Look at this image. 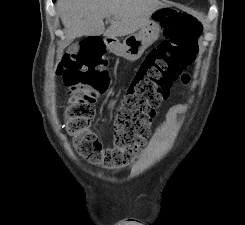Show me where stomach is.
<instances>
[{
    "label": "stomach",
    "instance_id": "stomach-1",
    "mask_svg": "<svg viewBox=\"0 0 245 225\" xmlns=\"http://www.w3.org/2000/svg\"><path fill=\"white\" fill-rule=\"evenodd\" d=\"M160 8L156 10L148 22L140 29L137 34L127 36L123 43H120L116 38H112L110 43V50L117 56L123 57L128 61H136L139 59L144 51L151 46L159 37L160 24L157 17L161 13Z\"/></svg>",
    "mask_w": 245,
    "mask_h": 225
}]
</instances>
